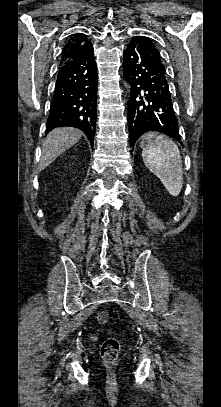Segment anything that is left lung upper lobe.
<instances>
[{"label": "left lung upper lobe", "mask_w": 221, "mask_h": 407, "mask_svg": "<svg viewBox=\"0 0 221 407\" xmlns=\"http://www.w3.org/2000/svg\"><path fill=\"white\" fill-rule=\"evenodd\" d=\"M139 40L148 44L151 47V54H152L153 58L155 60L159 61L160 63H162L160 52L156 49V47L153 45V43L148 38L143 37V36H139Z\"/></svg>", "instance_id": "obj_1"}]
</instances>
